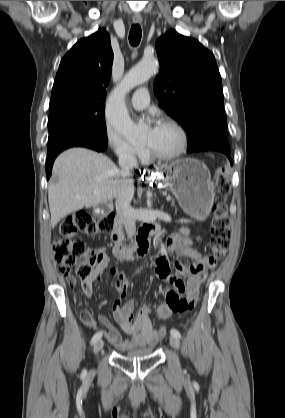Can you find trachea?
Returning <instances> with one entry per match:
<instances>
[{
	"label": "trachea",
	"instance_id": "trachea-1",
	"mask_svg": "<svg viewBox=\"0 0 285 418\" xmlns=\"http://www.w3.org/2000/svg\"><path fill=\"white\" fill-rule=\"evenodd\" d=\"M142 36L141 27L139 24H135L131 27L129 33V41L132 46H137L140 43Z\"/></svg>",
	"mask_w": 285,
	"mask_h": 418
}]
</instances>
